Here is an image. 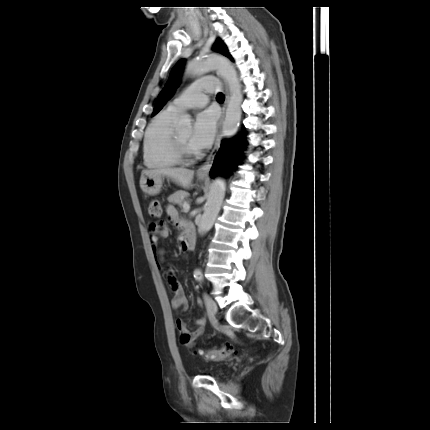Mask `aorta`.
Masks as SVG:
<instances>
[{
    "label": "aorta",
    "mask_w": 430,
    "mask_h": 430,
    "mask_svg": "<svg viewBox=\"0 0 430 430\" xmlns=\"http://www.w3.org/2000/svg\"><path fill=\"white\" fill-rule=\"evenodd\" d=\"M187 70L190 74L200 76L212 70H216L221 74L229 88V101L226 109V117L223 122V136L232 137L238 127L242 115V101L243 95L241 90V83L238 78L234 66L226 58L212 54L208 56H199L187 63ZM179 128L191 129V118L189 115H182L179 120ZM225 197V181L221 177H216L209 190V196L205 204L204 213L201 217L198 226L199 233L208 232L220 211L223 199Z\"/></svg>",
    "instance_id": "1"
}]
</instances>
